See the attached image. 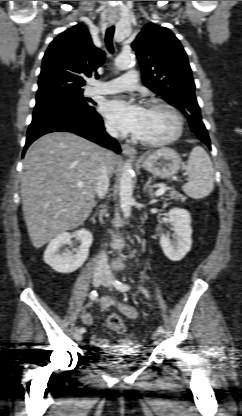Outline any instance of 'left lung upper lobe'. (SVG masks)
Returning <instances> with one entry per match:
<instances>
[{"label":"left lung upper lobe","mask_w":242,"mask_h":416,"mask_svg":"<svg viewBox=\"0 0 242 416\" xmlns=\"http://www.w3.org/2000/svg\"><path fill=\"white\" fill-rule=\"evenodd\" d=\"M132 48L145 86L182 111L199 139L207 138L187 54L176 36L168 28L147 24Z\"/></svg>","instance_id":"5c2ea615"}]
</instances>
